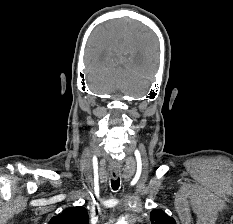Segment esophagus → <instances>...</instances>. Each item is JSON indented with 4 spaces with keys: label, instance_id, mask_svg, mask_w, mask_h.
Wrapping results in <instances>:
<instances>
[{
    "label": "esophagus",
    "instance_id": "1",
    "mask_svg": "<svg viewBox=\"0 0 233 224\" xmlns=\"http://www.w3.org/2000/svg\"><path fill=\"white\" fill-rule=\"evenodd\" d=\"M118 175H119L118 171H115V170L110 171L111 178L116 179Z\"/></svg>",
    "mask_w": 233,
    "mask_h": 224
}]
</instances>
